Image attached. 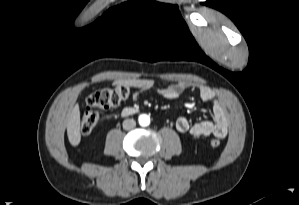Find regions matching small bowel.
Returning a JSON list of instances; mask_svg holds the SVG:
<instances>
[{
  "label": "small bowel",
  "instance_id": "small-bowel-1",
  "mask_svg": "<svg viewBox=\"0 0 299 205\" xmlns=\"http://www.w3.org/2000/svg\"><path fill=\"white\" fill-rule=\"evenodd\" d=\"M135 88L133 99L139 100L146 91L155 89L156 92L166 99H176L185 90L195 88L203 101L210 102L213 107L214 120H202L191 123L186 117H179L175 122L176 129L181 133H188L194 137L214 135L223 138L227 135L229 126V114L225 104L217 94L208 86L197 85L189 80H180L164 86H156L151 78H131L125 81ZM120 82H115V85Z\"/></svg>",
  "mask_w": 299,
  "mask_h": 205
}]
</instances>
